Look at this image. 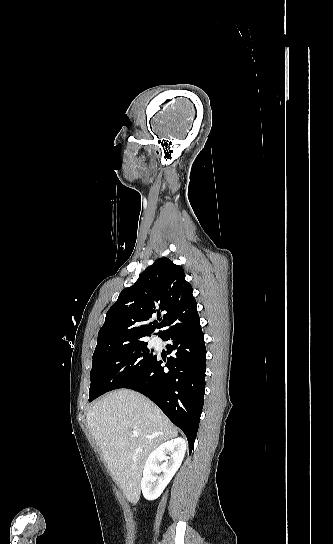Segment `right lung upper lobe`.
<instances>
[{
    "label": "right lung upper lobe",
    "mask_w": 333,
    "mask_h": 544,
    "mask_svg": "<svg viewBox=\"0 0 333 544\" xmlns=\"http://www.w3.org/2000/svg\"><path fill=\"white\" fill-rule=\"evenodd\" d=\"M193 289L181 266L166 257L158 258L138 280L121 291L110 307L98 332L97 348L150 336L156 328L161 337L171 326L198 313ZM164 312L159 324L147 323L155 313Z\"/></svg>",
    "instance_id": "cb5924a9"
}]
</instances>
